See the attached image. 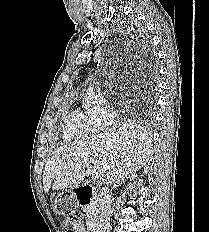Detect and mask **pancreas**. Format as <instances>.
<instances>
[{
  "label": "pancreas",
  "mask_w": 209,
  "mask_h": 232,
  "mask_svg": "<svg viewBox=\"0 0 209 232\" xmlns=\"http://www.w3.org/2000/svg\"><path fill=\"white\" fill-rule=\"evenodd\" d=\"M86 217V223L88 226H91L95 223L98 215V207L96 203H93L89 206L83 208Z\"/></svg>",
  "instance_id": "cf45deb5"
}]
</instances>
